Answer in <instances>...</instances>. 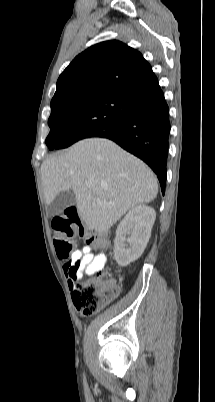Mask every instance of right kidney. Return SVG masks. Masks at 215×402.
I'll return each mask as SVG.
<instances>
[{
	"label": "right kidney",
	"mask_w": 215,
	"mask_h": 402,
	"mask_svg": "<svg viewBox=\"0 0 215 402\" xmlns=\"http://www.w3.org/2000/svg\"><path fill=\"white\" fill-rule=\"evenodd\" d=\"M155 217V210L146 205L135 206L126 214L117 227L114 240V258L118 265L128 266L142 255Z\"/></svg>",
	"instance_id": "right-kidney-1"
}]
</instances>
